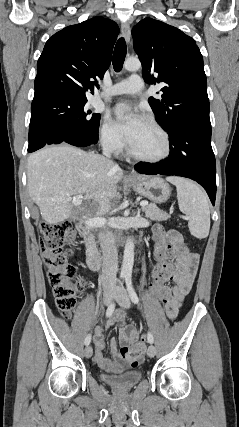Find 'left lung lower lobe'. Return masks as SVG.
Returning <instances> with one entry per match:
<instances>
[{"label":"left lung lower lobe","instance_id":"left-lung-lower-lobe-1","mask_svg":"<svg viewBox=\"0 0 239 427\" xmlns=\"http://www.w3.org/2000/svg\"><path fill=\"white\" fill-rule=\"evenodd\" d=\"M170 155L157 163L140 162L135 168L141 174L176 175L198 182L215 205L216 163L211 147V125L199 122L179 123L167 131Z\"/></svg>","mask_w":239,"mask_h":427}]
</instances>
